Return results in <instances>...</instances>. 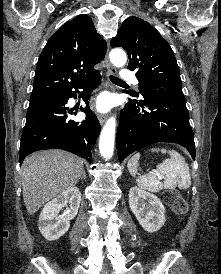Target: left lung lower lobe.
Wrapping results in <instances>:
<instances>
[{"mask_svg": "<svg viewBox=\"0 0 221 274\" xmlns=\"http://www.w3.org/2000/svg\"><path fill=\"white\" fill-rule=\"evenodd\" d=\"M137 97V96H133ZM174 142L195 159V143L185 99L144 97L131 100L121 111L116 135L119 160L145 146Z\"/></svg>", "mask_w": 221, "mask_h": 274, "instance_id": "left-lung-lower-lobe-1", "label": "left lung lower lobe"}]
</instances>
